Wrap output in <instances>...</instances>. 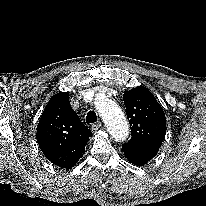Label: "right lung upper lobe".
<instances>
[{
  "label": "right lung upper lobe",
  "mask_w": 206,
  "mask_h": 206,
  "mask_svg": "<svg viewBox=\"0 0 206 206\" xmlns=\"http://www.w3.org/2000/svg\"><path fill=\"white\" fill-rule=\"evenodd\" d=\"M90 136L91 131L70 106L68 92L52 96L39 120L36 135L46 158L70 169L81 158Z\"/></svg>",
  "instance_id": "cb5924a9"
}]
</instances>
